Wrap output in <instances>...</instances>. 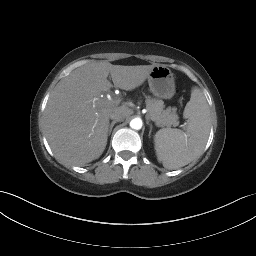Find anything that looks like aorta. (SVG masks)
<instances>
[{
    "instance_id": "obj_1",
    "label": "aorta",
    "mask_w": 256,
    "mask_h": 256,
    "mask_svg": "<svg viewBox=\"0 0 256 256\" xmlns=\"http://www.w3.org/2000/svg\"><path fill=\"white\" fill-rule=\"evenodd\" d=\"M130 127L135 130L142 128V120L140 118H134L130 121Z\"/></svg>"
}]
</instances>
